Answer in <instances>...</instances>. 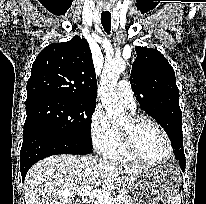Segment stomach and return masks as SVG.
I'll use <instances>...</instances> for the list:
<instances>
[{
    "label": "stomach",
    "instance_id": "0dacf381",
    "mask_svg": "<svg viewBox=\"0 0 206 204\" xmlns=\"http://www.w3.org/2000/svg\"><path fill=\"white\" fill-rule=\"evenodd\" d=\"M181 183L172 165L147 167L126 186L131 204H171Z\"/></svg>",
    "mask_w": 206,
    "mask_h": 204
}]
</instances>
